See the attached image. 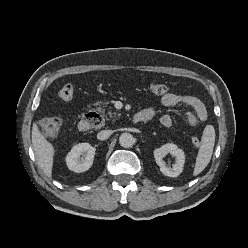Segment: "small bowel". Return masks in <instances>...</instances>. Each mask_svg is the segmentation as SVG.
I'll return each mask as SVG.
<instances>
[{
	"mask_svg": "<svg viewBox=\"0 0 248 248\" xmlns=\"http://www.w3.org/2000/svg\"><path fill=\"white\" fill-rule=\"evenodd\" d=\"M161 103L166 107H173L181 104L189 107L190 110L187 112V120L192 126L200 125L207 120V109L203 102L195 96L167 93L161 97ZM142 112L148 117V120L155 114L153 108H146ZM160 122L167 128L171 127L173 124L172 117L169 114L162 115Z\"/></svg>",
	"mask_w": 248,
	"mask_h": 248,
	"instance_id": "obj_1",
	"label": "small bowel"
}]
</instances>
